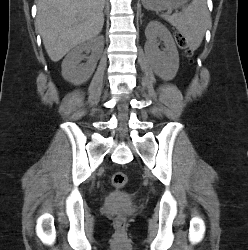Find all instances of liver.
Here are the masks:
<instances>
[{
	"label": "liver",
	"mask_w": 248,
	"mask_h": 250,
	"mask_svg": "<svg viewBox=\"0 0 248 250\" xmlns=\"http://www.w3.org/2000/svg\"><path fill=\"white\" fill-rule=\"evenodd\" d=\"M36 3V23L53 62L102 30L105 0H37Z\"/></svg>",
	"instance_id": "1"
}]
</instances>
